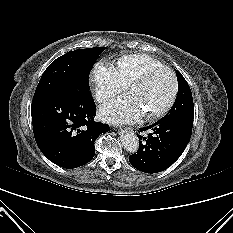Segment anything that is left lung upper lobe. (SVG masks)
Returning a JSON list of instances; mask_svg holds the SVG:
<instances>
[{
    "label": "left lung upper lobe",
    "instance_id": "left-lung-upper-lobe-1",
    "mask_svg": "<svg viewBox=\"0 0 233 233\" xmlns=\"http://www.w3.org/2000/svg\"><path fill=\"white\" fill-rule=\"evenodd\" d=\"M178 80V94L174 105L163 118L173 119L189 127L193 126L194 105L190 87L179 71H176Z\"/></svg>",
    "mask_w": 233,
    "mask_h": 233
}]
</instances>
